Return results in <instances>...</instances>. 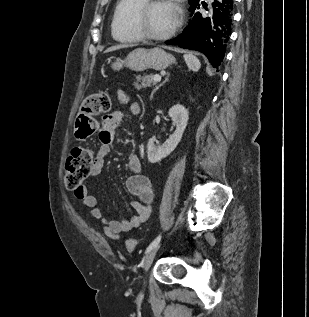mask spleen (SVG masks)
<instances>
[{"label": "spleen", "mask_w": 309, "mask_h": 317, "mask_svg": "<svg viewBox=\"0 0 309 317\" xmlns=\"http://www.w3.org/2000/svg\"><path fill=\"white\" fill-rule=\"evenodd\" d=\"M184 60L189 70L197 72L201 67V63L198 58L190 53L184 55Z\"/></svg>", "instance_id": "3e777b00"}]
</instances>
